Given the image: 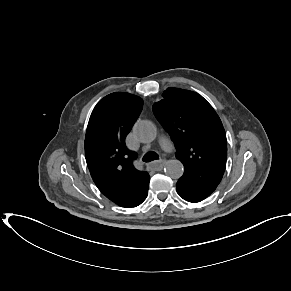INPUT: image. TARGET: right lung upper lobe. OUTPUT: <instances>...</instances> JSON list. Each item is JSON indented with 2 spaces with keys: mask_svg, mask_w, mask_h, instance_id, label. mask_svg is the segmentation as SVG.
Wrapping results in <instances>:
<instances>
[{
  "mask_svg": "<svg viewBox=\"0 0 291 291\" xmlns=\"http://www.w3.org/2000/svg\"><path fill=\"white\" fill-rule=\"evenodd\" d=\"M143 107L133 94L115 92L92 111L85 136V158L92 179L108 199L119 206L141 201L148 193L149 174L132 165L136 154L125 138Z\"/></svg>",
  "mask_w": 291,
  "mask_h": 291,
  "instance_id": "cb5924a9",
  "label": "right lung upper lobe"
}]
</instances>
